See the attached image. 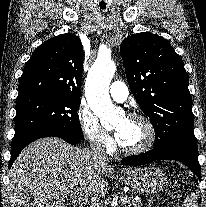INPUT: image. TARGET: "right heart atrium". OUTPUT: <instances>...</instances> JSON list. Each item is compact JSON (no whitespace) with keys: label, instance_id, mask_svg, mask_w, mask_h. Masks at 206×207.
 <instances>
[{"label":"right heart atrium","instance_id":"obj_1","mask_svg":"<svg viewBox=\"0 0 206 207\" xmlns=\"http://www.w3.org/2000/svg\"><path fill=\"white\" fill-rule=\"evenodd\" d=\"M77 121L89 143L101 150L111 151L114 147L110 134L102 127L96 115L84 103L77 110Z\"/></svg>","mask_w":206,"mask_h":207}]
</instances>
